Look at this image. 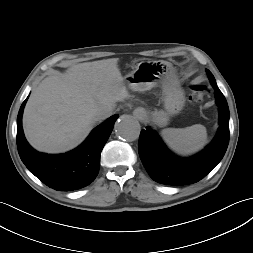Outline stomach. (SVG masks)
<instances>
[{
    "instance_id": "stomach-1",
    "label": "stomach",
    "mask_w": 253,
    "mask_h": 253,
    "mask_svg": "<svg viewBox=\"0 0 253 253\" xmlns=\"http://www.w3.org/2000/svg\"><path fill=\"white\" fill-rule=\"evenodd\" d=\"M125 79L132 90L140 92L150 90L158 82L162 83L165 110H155L147 116L157 126H166L170 117L182 110L185 103L184 91L170 63L163 60L142 61Z\"/></svg>"
}]
</instances>
